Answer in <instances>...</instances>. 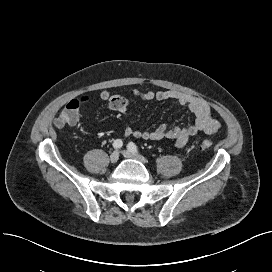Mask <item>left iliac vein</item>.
Wrapping results in <instances>:
<instances>
[{"mask_svg":"<svg viewBox=\"0 0 272 272\" xmlns=\"http://www.w3.org/2000/svg\"><path fill=\"white\" fill-rule=\"evenodd\" d=\"M122 154L126 158L138 160V161L142 162L143 164L147 163L146 159L143 156H141L139 154H136V153H133L130 150H123Z\"/></svg>","mask_w":272,"mask_h":272,"instance_id":"1","label":"left iliac vein"}]
</instances>
